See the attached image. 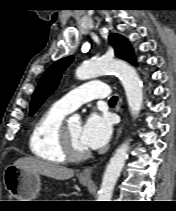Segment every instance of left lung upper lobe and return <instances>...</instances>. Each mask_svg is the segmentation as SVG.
Listing matches in <instances>:
<instances>
[{
  "instance_id": "1",
  "label": "left lung upper lobe",
  "mask_w": 176,
  "mask_h": 211,
  "mask_svg": "<svg viewBox=\"0 0 176 211\" xmlns=\"http://www.w3.org/2000/svg\"><path fill=\"white\" fill-rule=\"evenodd\" d=\"M109 41L115 49L116 56L128 61L133 65L136 64V58L133 48L125 37L113 33L109 36ZM73 59V56L62 58L46 70L33 94L29 111L30 116H32L41 106L44 100L54 92V90L58 86L62 73L64 72L66 67H68L69 64L73 61Z\"/></svg>"
}]
</instances>
